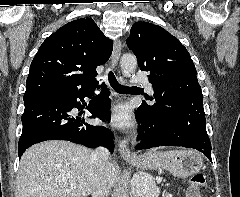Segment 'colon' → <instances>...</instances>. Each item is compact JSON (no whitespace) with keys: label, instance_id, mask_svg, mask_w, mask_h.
<instances>
[{"label":"colon","instance_id":"5ec220e1","mask_svg":"<svg viewBox=\"0 0 240 197\" xmlns=\"http://www.w3.org/2000/svg\"><path fill=\"white\" fill-rule=\"evenodd\" d=\"M189 183L191 187H194L197 190L198 187L206 185V177L202 173H195L190 176Z\"/></svg>","mask_w":240,"mask_h":197}]
</instances>
